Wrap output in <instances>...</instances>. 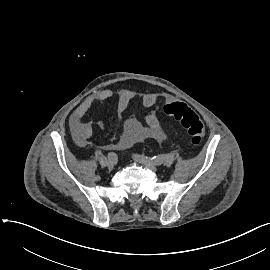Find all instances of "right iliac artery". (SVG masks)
Masks as SVG:
<instances>
[{"label": "right iliac artery", "instance_id": "1", "mask_svg": "<svg viewBox=\"0 0 270 270\" xmlns=\"http://www.w3.org/2000/svg\"><path fill=\"white\" fill-rule=\"evenodd\" d=\"M108 159L113 161V162H116L118 159V156L114 152H110V153H108Z\"/></svg>", "mask_w": 270, "mask_h": 270}]
</instances>
